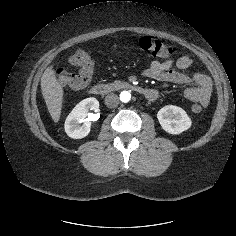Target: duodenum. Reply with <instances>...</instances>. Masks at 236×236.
Segmentation results:
<instances>
[{
    "mask_svg": "<svg viewBox=\"0 0 236 236\" xmlns=\"http://www.w3.org/2000/svg\"><path fill=\"white\" fill-rule=\"evenodd\" d=\"M116 89H125V90L135 91L148 99L155 95V92L151 89L143 88L131 82H125V81H115V82H110V83L94 84L93 86H91L89 91L92 95L103 96Z\"/></svg>",
    "mask_w": 236,
    "mask_h": 236,
    "instance_id": "obj_1",
    "label": "duodenum"
}]
</instances>
